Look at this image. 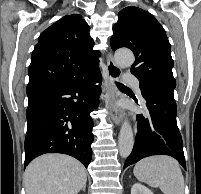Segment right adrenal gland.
Wrapping results in <instances>:
<instances>
[{"label": "right adrenal gland", "instance_id": "1", "mask_svg": "<svg viewBox=\"0 0 201 194\" xmlns=\"http://www.w3.org/2000/svg\"><path fill=\"white\" fill-rule=\"evenodd\" d=\"M84 192L86 191V185L83 187V189H82Z\"/></svg>", "mask_w": 201, "mask_h": 194}]
</instances>
